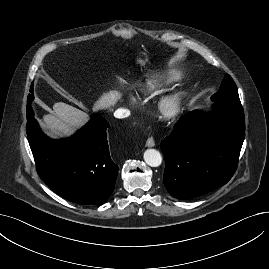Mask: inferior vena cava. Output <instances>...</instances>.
<instances>
[{
  "mask_svg": "<svg viewBox=\"0 0 269 269\" xmlns=\"http://www.w3.org/2000/svg\"><path fill=\"white\" fill-rule=\"evenodd\" d=\"M130 115V111L127 109L119 108L114 112L116 118H126Z\"/></svg>",
  "mask_w": 269,
  "mask_h": 269,
  "instance_id": "obj_1",
  "label": "inferior vena cava"
}]
</instances>
